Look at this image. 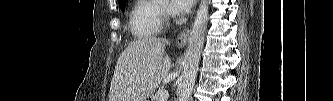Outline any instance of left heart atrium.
I'll list each match as a JSON object with an SVG mask.
<instances>
[{
  "instance_id": "left-heart-atrium-1",
  "label": "left heart atrium",
  "mask_w": 333,
  "mask_h": 101,
  "mask_svg": "<svg viewBox=\"0 0 333 101\" xmlns=\"http://www.w3.org/2000/svg\"><path fill=\"white\" fill-rule=\"evenodd\" d=\"M192 0H172L169 4V11L175 15H182L189 11Z\"/></svg>"
}]
</instances>
